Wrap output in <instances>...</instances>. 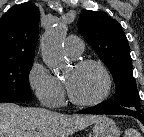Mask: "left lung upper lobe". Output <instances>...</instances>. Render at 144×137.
Returning <instances> with one entry per match:
<instances>
[{
	"label": "left lung upper lobe",
	"instance_id": "5c2ea615",
	"mask_svg": "<svg viewBox=\"0 0 144 137\" xmlns=\"http://www.w3.org/2000/svg\"><path fill=\"white\" fill-rule=\"evenodd\" d=\"M78 30L113 75L115 100L105 104L110 108L139 110L130 47L120 24L104 12L84 10L79 16Z\"/></svg>",
	"mask_w": 144,
	"mask_h": 137
}]
</instances>
